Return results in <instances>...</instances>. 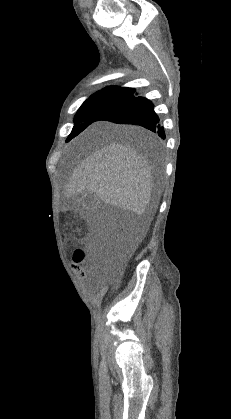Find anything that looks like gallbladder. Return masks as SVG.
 <instances>
[{"label": "gallbladder", "instance_id": "obj_1", "mask_svg": "<svg viewBox=\"0 0 231 419\" xmlns=\"http://www.w3.org/2000/svg\"><path fill=\"white\" fill-rule=\"evenodd\" d=\"M82 204L85 207L92 208L96 205V198L94 195L86 194L85 198L83 199Z\"/></svg>", "mask_w": 231, "mask_h": 419}]
</instances>
